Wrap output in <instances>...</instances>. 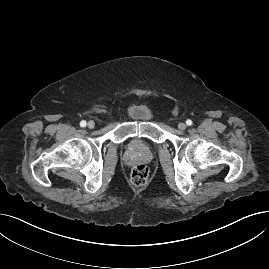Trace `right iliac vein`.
<instances>
[{"label": "right iliac vein", "instance_id": "63e3f726", "mask_svg": "<svg viewBox=\"0 0 269 269\" xmlns=\"http://www.w3.org/2000/svg\"><path fill=\"white\" fill-rule=\"evenodd\" d=\"M94 126H95V122H94L93 120H90V121L87 123V127H88L89 129L94 128Z\"/></svg>", "mask_w": 269, "mask_h": 269}]
</instances>
